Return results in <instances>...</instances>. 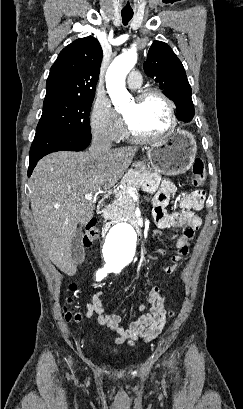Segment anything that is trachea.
<instances>
[{
  "instance_id": "3493384b",
  "label": "trachea",
  "mask_w": 243,
  "mask_h": 409,
  "mask_svg": "<svg viewBox=\"0 0 243 409\" xmlns=\"http://www.w3.org/2000/svg\"><path fill=\"white\" fill-rule=\"evenodd\" d=\"M122 22L124 25H127L128 22L132 19L133 17V12H128V11H122Z\"/></svg>"
}]
</instances>
